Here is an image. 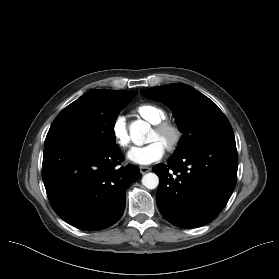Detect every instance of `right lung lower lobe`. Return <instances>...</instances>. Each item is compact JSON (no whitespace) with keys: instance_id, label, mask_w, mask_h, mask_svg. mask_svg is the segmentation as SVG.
Listing matches in <instances>:
<instances>
[{"instance_id":"right-lung-lower-lobe-1","label":"right lung lower lobe","mask_w":279,"mask_h":279,"mask_svg":"<svg viewBox=\"0 0 279 279\" xmlns=\"http://www.w3.org/2000/svg\"><path fill=\"white\" fill-rule=\"evenodd\" d=\"M122 160L118 146L99 150L65 143L45 148L42 177L56 213L83 230L116 223L125 209L126 189L140 175L136 165L117 166Z\"/></svg>"}]
</instances>
